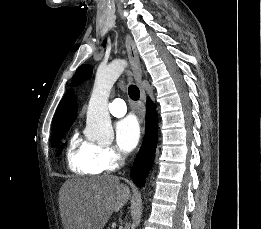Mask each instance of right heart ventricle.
Returning <instances> with one entry per match:
<instances>
[{
    "label": "right heart ventricle",
    "mask_w": 261,
    "mask_h": 229,
    "mask_svg": "<svg viewBox=\"0 0 261 229\" xmlns=\"http://www.w3.org/2000/svg\"><path fill=\"white\" fill-rule=\"evenodd\" d=\"M97 148L98 144L81 139L77 134L73 135L69 140L66 152L70 170L78 174L99 173L95 164Z\"/></svg>",
    "instance_id": "1"
}]
</instances>
